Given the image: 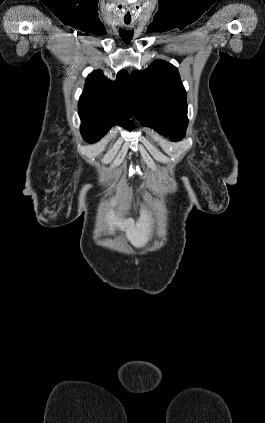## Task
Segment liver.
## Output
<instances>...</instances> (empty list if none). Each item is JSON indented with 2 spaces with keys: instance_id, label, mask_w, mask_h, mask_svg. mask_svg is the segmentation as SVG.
<instances>
[{
  "instance_id": "1",
  "label": "liver",
  "mask_w": 265,
  "mask_h": 423,
  "mask_svg": "<svg viewBox=\"0 0 265 423\" xmlns=\"http://www.w3.org/2000/svg\"><path fill=\"white\" fill-rule=\"evenodd\" d=\"M108 226L110 231H114L115 225H119L126 232V237L130 243L137 247H143L150 237L148 236V224L146 220H143L141 223H134L132 220H119L114 212H110L107 215Z\"/></svg>"
}]
</instances>
